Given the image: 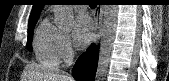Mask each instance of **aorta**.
Wrapping results in <instances>:
<instances>
[{
	"mask_svg": "<svg viewBox=\"0 0 169 81\" xmlns=\"http://www.w3.org/2000/svg\"><path fill=\"white\" fill-rule=\"evenodd\" d=\"M55 23L62 31H71L74 14L70 5H55ZM117 5H104L102 8V30L99 48V59L96 71V81H105L110 62L113 41L117 24Z\"/></svg>",
	"mask_w": 169,
	"mask_h": 81,
	"instance_id": "1",
	"label": "aorta"
}]
</instances>
